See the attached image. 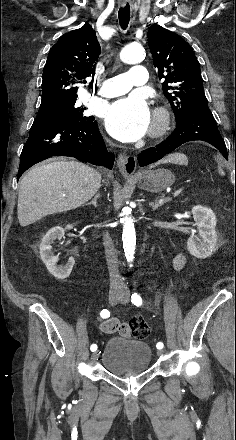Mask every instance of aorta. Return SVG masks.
Listing matches in <instances>:
<instances>
[{"label": "aorta", "instance_id": "1", "mask_svg": "<svg viewBox=\"0 0 236 440\" xmlns=\"http://www.w3.org/2000/svg\"><path fill=\"white\" fill-rule=\"evenodd\" d=\"M120 59L127 64L140 63L145 59V50L141 45L138 44L128 45L121 50ZM122 215L123 249L127 262L131 263L134 260L136 248V232L129 210H124Z\"/></svg>", "mask_w": 236, "mask_h": 440}]
</instances>
